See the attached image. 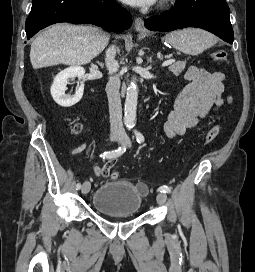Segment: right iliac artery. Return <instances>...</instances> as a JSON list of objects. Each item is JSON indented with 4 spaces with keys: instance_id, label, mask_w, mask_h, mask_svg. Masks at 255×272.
I'll list each match as a JSON object with an SVG mask.
<instances>
[{
    "instance_id": "obj_1",
    "label": "right iliac artery",
    "mask_w": 255,
    "mask_h": 272,
    "mask_svg": "<svg viewBox=\"0 0 255 272\" xmlns=\"http://www.w3.org/2000/svg\"><path fill=\"white\" fill-rule=\"evenodd\" d=\"M125 151H126V147L124 145H122L121 147H119L116 150L104 152L103 154L100 155V157H102L103 159L117 158V157L121 156ZM80 188H81V184L77 183L76 189L78 190Z\"/></svg>"
}]
</instances>
